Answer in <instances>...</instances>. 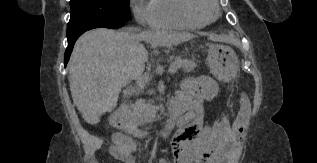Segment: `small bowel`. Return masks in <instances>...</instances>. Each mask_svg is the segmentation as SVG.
Here are the masks:
<instances>
[{
	"instance_id": "small-bowel-1",
	"label": "small bowel",
	"mask_w": 317,
	"mask_h": 163,
	"mask_svg": "<svg viewBox=\"0 0 317 163\" xmlns=\"http://www.w3.org/2000/svg\"><path fill=\"white\" fill-rule=\"evenodd\" d=\"M218 83L211 78L186 81L170 102V112L177 115V133L171 141L174 163H219L229 158L233 163L242 132L250 115V103L242 96L236 119L230 125L226 119L212 127H204L203 103L212 100L218 93ZM135 142L121 138L112 155L122 163H135ZM159 163H168L160 159Z\"/></svg>"
}]
</instances>
